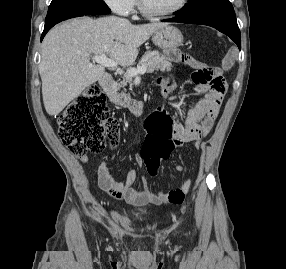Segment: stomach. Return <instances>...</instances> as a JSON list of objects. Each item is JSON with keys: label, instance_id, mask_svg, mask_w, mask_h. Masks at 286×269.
Returning <instances> with one entry per match:
<instances>
[{"label": "stomach", "instance_id": "1", "mask_svg": "<svg viewBox=\"0 0 286 269\" xmlns=\"http://www.w3.org/2000/svg\"><path fill=\"white\" fill-rule=\"evenodd\" d=\"M152 41L160 49H177L183 42V35L178 28L165 26L154 32Z\"/></svg>", "mask_w": 286, "mask_h": 269}]
</instances>
